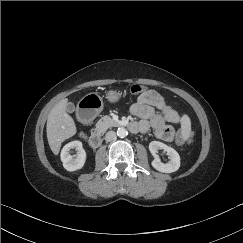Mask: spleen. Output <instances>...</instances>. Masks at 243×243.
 <instances>
[{
    "label": "spleen",
    "mask_w": 243,
    "mask_h": 243,
    "mask_svg": "<svg viewBox=\"0 0 243 243\" xmlns=\"http://www.w3.org/2000/svg\"><path fill=\"white\" fill-rule=\"evenodd\" d=\"M182 137L184 140L188 139L190 135L191 122L188 116H183L182 118Z\"/></svg>",
    "instance_id": "spleen-1"
}]
</instances>
